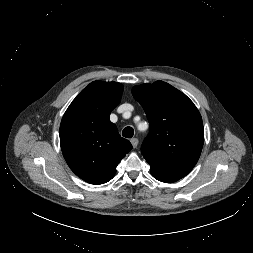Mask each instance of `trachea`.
I'll return each mask as SVG.
<instances>
[{
	"mask_svg": "<svg viewBox=\"0 0 253 253\" xmlns=\"http://www.w3.org/2000/svg\"><path fill=\"white\" fill-rule=\"evenodd\" d=\"M134 135V130L132 127H125L122 131V136L126 138H132Z\"/></svg>",
	"mask_w": 253,
	"mask_h": 253,
	"instance_id": "trachea-1",
	"label": "trachea"
}]
</instances>
